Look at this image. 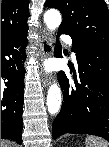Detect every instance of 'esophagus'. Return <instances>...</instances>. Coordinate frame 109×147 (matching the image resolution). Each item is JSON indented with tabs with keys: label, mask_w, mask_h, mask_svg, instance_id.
Listing matches in <instances>:
<instances>
[{
	"label": "esophagus",
	"mask_w": 109,
	"mask_h": 147,
	"mask_svg": "<svg viewBox=\"0 0 109 147\" xmlns=\"http://www.w3.org/2000/svg\"><path fill=\"white\" fill-rule=\"evenodd\" d=\"M51 54L50 46V33L44 29L41 35V56L42 58L48 57ZM42 85L48 87L51 83V78L48 75L43 74Z\"/></svg>",
	"instance_id": "esophagus-1"
}]
</instances>
